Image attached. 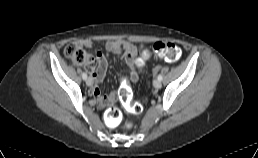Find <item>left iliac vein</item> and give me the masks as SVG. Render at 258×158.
I'll use <instances>...</instances> for the list:
<instances>
[{
    "instance_id": "4c4485c4",
    "label": "left iliac vein",
    "mask_w": 258,
    "mask_h": 158,
    "mask_svg": "<svg viewBox=\"0 0 258 158\" xmlns=\"http://www.w3.org/2000/svg\"><path fill=\"white\" fill-rule=\"evenodd\" d=\"M153 86H154L155 89H160L161 86H162V83L159 80H155L154 83H153Z\"/></svg>"
}]
</instances>
